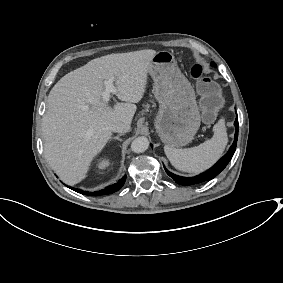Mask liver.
Returning a JSON list of instances; mask_svg holds the SVG:
<instances>
[{
    "label": "liver",
    "mask_w": 283,
    "mask_h": 283,
    "mask_svg": "<svg viewBox=\"0 0 283 283\" xmlns=\"http://www.w3.org/2000/svg\"><path fill=\"white\" fill-rule=\"evenodd\" d=\"M157 52L141 50L109 54L89 61L62 77L47 98L42 122L45 156L68 185L83 181L93 161L113 135L112 127L132 124L136 103L149 84V68ZM112 80L125 101L110 106L103 95Z\"/></svg>",
    "instance_id": "obj_1"
}]
</instances>
